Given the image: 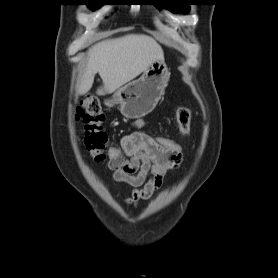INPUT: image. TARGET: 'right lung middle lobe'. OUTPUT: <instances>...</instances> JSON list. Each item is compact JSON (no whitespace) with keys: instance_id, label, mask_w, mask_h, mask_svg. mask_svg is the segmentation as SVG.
I'll use <instances>...</instances> for the list:
<instances>
[{"instance_id":"obj_1","label":"right lung middle lobe","mask_w":278,"mask_h":278,"mask_svg":"<svg viewBox=\"0 0 278 278\" xmlns=\"http://www.w3.org/2000/svg\"><path fill=\"white\" fill-rule=\"evenodd\" d=\"M89 3L87 4L90 9L95 10L103 5V1L105 0H88Z\"/></svg>"}]
</instances>
